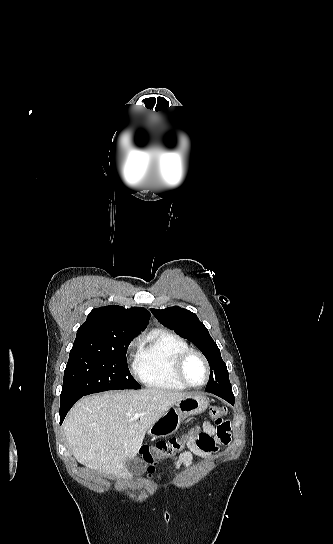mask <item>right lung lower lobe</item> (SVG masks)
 Returning a JSON list of instances; mask_svg holds the SVG:
<instances>
[{
	"label": "right lung lower lobe",
	"mask_w": 333,
	"mask_h": 544,
	"mask_svg": "<svg viewBox=\"0 0 333 544\" xmlns=\"http://www.w3.org/2000/svg\"><path fill=\"white\" fill-rule=\"evenodd\" d=\"M81 397L73 398L71 396L60 397V424H62L67 412L71 409L76 401Z\"/></svg>",
	"instance_id": "right-lung-lower-lobe-1"
}]
</instances>
